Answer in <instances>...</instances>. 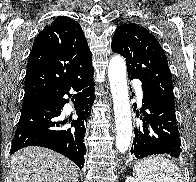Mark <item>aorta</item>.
<instances>
[{"label": "aorta", "instance_id": "1", "mask_svg": "<svg viewBox=\"0 0 196 182\" xmlns=\"http://www.w3.org/2000/svg\"><path fill=\"white\" fill-rule=\"evenodd\" d=\"M108 76L114 104L117 133L116 147L119 152L125 153L131 142L132 119L127 86L126 63L121 56L115 55L110 59Z\"/></svg>", "mask_w": 196, "mask_h": 182}]
</instances>
